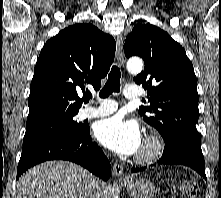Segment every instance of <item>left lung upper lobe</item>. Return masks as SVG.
Returning <instances> with one entry per match:
<instances>
[{
    "label": "left lung upper lobe",
    "instance_id": "obj_1",
    "mask_svg": "<svg viewBox=\"0 0 221 198\" xmlns=\"http://www.w3.org/2000/svg\"><path fill=\"white\" fill-rule=\"evenodd\" d=\"M127 58L140 56L144 71L134 77L148 91L149 106L139 114L155 127L165 141L175 138L200 140L195 124L199 118L197 80L184 48L160 28L136 25L125 40Z\"/></svg>",
    "mask_w": 221,
    "mask_h": 198
}]
</instances>
